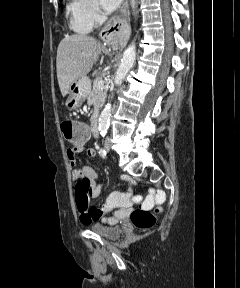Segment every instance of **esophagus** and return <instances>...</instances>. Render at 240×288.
Here are the masks:
<instances>
[{"instance_id": "esophagus-1", "label": "esophagus", "mask_w": 240, "mask_h": 288, "mask_svg": "<svg viewBox=\"0 0 240 288\" xmlns=\"http://www.w3.org/2000/svg\"><path fill=\"white\" fill-rule=\"evenodd\" d=\"M129 2L124 0L118 13L102 29L100 36L108 45L123 46L128 39Z\"/></svg>"}]
</instances>
